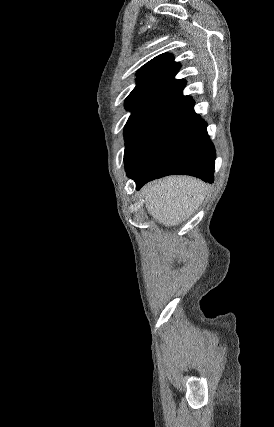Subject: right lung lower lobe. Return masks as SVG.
I'll return each instance as SVG.
<instances>
[{
  "label": "right lung lower lobe",
  "mask_w": 274,
  "mask_h": 427,
  "mask_svg": "<svg viewBox=\"0 0 274 427\" xmlns=\"http://www.w3.org/2000/svg\"><path fill=\"white\" fill-rule=\"evenodd\" d=\"M194 100L174 105L139 162L126 168L137 190L146 182L172 174H185L213 182L215 150L206 123L194 113Z\"/></svg>",
  "instance_id": "98d812e1"
}]
</instances>
